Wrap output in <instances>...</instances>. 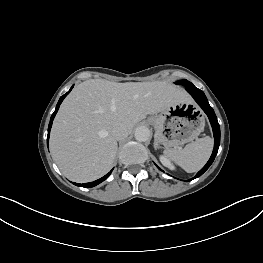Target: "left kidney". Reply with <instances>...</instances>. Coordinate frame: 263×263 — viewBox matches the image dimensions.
<instances>
[{
  "mask_svg": "<svg viewBox=\"0 0 263 263\" xmlns=\"http://www.w3.org/2000/svg\"><path fill=\"white\" fill-rule=\"evenodd\" d=\"M159 160L162 163V165L167 167L168 169L170 170L175 169L174 165L171 163V161L166 156L160 155Z\"/></svg>",
  "mask_w": 263,
  "mask_h": 263,
  "instance_id": "left-kidney-1",
  "label": "left kidney"
}]
</instances>
